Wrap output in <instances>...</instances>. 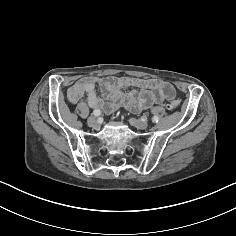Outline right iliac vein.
<instances>
[{
	"label": "right iliac vein",
	"mask_w": 236,
	"mask_h": 236,
	"mask_svg": "<svg viewBox=\"0 0 236 236\" xmlns=\"http://www.w3.org/2000/svg\"><path fill=\"white\" fill-rule=\"evenodd\" d=\"M87 123L90 125V126H95L97 124V120L94 116H90L88 119H87Z\"/></svg>",
	"instance_id": "right-iliac-vein-1"
}]
</instances>
